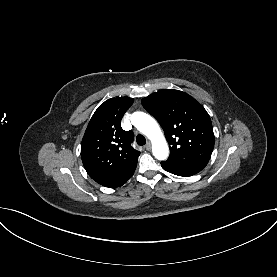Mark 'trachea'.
Listing matches in <instances>:
<instances>
[{"label":"trachea","mask_w":277,"mask_h":277,"mask_svg":"<svg viewBox=\"0 0 277 277\" xmlns=\"http://www.w3.org/2000/svg\"><path fill=\"white\" fill-rule=\"evenodd\" d=\"M136 142H137L138 145L143 146V145L146 144V139L143 135L139 134L136 137Z\"/></svg>","instance_id":"trachea-1"}]
</instances>
